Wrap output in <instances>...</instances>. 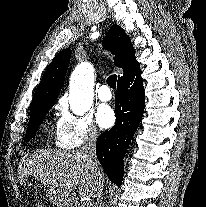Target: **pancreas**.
I'll list each match as a JSON object with an SVG mask.
<instances>
[{
    "label": "pancreas",
    "instance_id": "cf45deb5",
    "mask_svg": "<svg viewBox=\"0 0 206 207\" xmlns=\"http://www.w3.org/2000/svg\"><path fill=\"white\" fill-rule=\"evenodd\" d=\"M75 207H85L84 205H75ZM87 207V206H86Z\"/></svg>",
    "mask_w": 206,
    "mask_h": 207
}]
</instances>
